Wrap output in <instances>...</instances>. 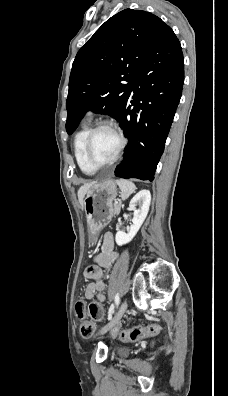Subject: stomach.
<instances>
[{
	"mask_svg": "<svg viewBox=\"0 0 228 396\" xmlns=\"http://www.w3.org/2000/svg\"><path fill=\"white\" fill-rule=\"evenodd\" d=\"M116 196L117 189L112 180L92 183L87 189L84 207L91 239L95 240L111 220Z\"/></svg>",
	"mask_w": 228,
	"mask_h": 396,
	"instance_id": "1",
	"label": "stomach"
}]
</instances>
